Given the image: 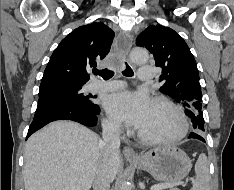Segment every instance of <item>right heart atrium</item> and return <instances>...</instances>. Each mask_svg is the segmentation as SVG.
I'll use <instances>...</instances> for the list:
<instances>
[{"label":"right heart atrium","mask_w":234,"mask_h":190,"mask_svg":"<svg viewBox=\"0 0 234 190\" xmlns=\"http://www.w3.org/2000/svg\"><path fill=\"white\" fill-rule=\"evenodd\" d=\"M105 128L110 132H120L121 130L120 125L116 121H113V120H106Z\"/></svg>","instance_id":"d8ad5b80"}]
</instances>
